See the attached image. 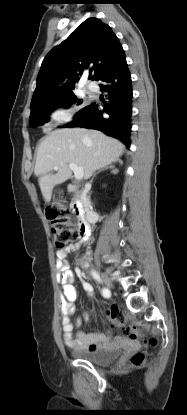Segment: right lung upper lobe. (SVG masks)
Here are the masks:
<instances>
[{
  "instance_id": "cb5924a9",
  "label": "right lung upper lobe",
  "mask_w": 187,
  "mask_h": 415,
  "mask_svg": "<svg viewBox=\"0 0 187 415\" xmlns=\"http://www.w3.org/2000/svg\"><path fill=\"white\" fill-rule=\"evenodd\" d=\"M123 51L111 28L97 18L85 20L44 58L31 110L60 101L73 92L84 70L95 80Z\"/></svg>"
}]
</instances>
